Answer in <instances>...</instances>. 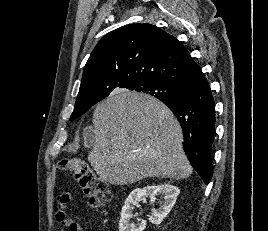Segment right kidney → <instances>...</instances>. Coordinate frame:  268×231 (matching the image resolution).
Listing matches in <instances>:
<instances>
[{
    "label": "right kidney",
    "mask_w": 268,
    "mask_h": 231,
    "mask_svg": "<svg viewBox=\"0 0 268 231\" xmlns=\"http://www.w3.org/2000/svg\"><path fill=\"white\" fill-rule=\"evenodd\" d=\"M180 193L178 187L171 184L150 185L144 188L134 189L126 199L121 211V219L119 221V231H143L146 227V221H138V223L130 222L133 218V210L143 196H157L163 198L158 209H154L149 221L154 225H159L163 219L172 210L177 196Z\"/></svg>",
    "instance_id": "1"
}]
</instances>
